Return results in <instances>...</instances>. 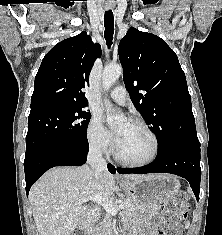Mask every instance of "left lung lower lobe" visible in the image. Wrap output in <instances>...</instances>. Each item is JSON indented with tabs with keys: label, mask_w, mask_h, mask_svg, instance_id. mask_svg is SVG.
I'll use <instances>...</instances> for the list:
<instances>
[{
	"label": "left lung lower lobe",
	"mask_w": 222,
	"mask_h": 235,
	"mask_svg": "<svg viewBox=\"0 0 222 235\" xmlns=\"http://www.w3.org/2000/svg\"><path fill=\"white\" fill-rule=\"evenodd\" d=\"M120 174L170 173L188 180L199 200L200 192V145L190 143L173 144L161 151L151 164L139 168H117Z\"/></svg>",
	"instance_id": "0a47b994"
}]
</instances>
